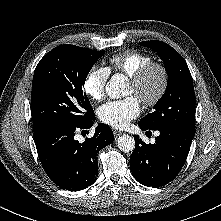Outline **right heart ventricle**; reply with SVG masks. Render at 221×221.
<instances>
[{
  "instance_id": "obj_1",
  "label": "right heart ventricle",
  "mask_w": 221,
  "mask_h": 221,
  "mask_svg": "<svg viewBox=\"0 0 221 221\" xmlns=\"http://www.w3.org/2000/svg\"><path fill=\"white\" fill-rule=\"evenodd\" d=\"M110 70L134 76L142 67L153 62V57L138 50H127L114 54L110 60Z\"/></svg>"
}]
</instances>
